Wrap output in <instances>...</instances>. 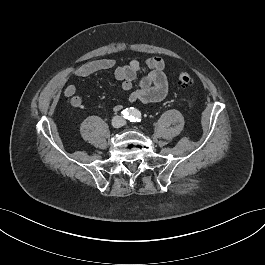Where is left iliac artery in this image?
<instances>
[{"instance_id":"44dca946","label":"left iliac artery","mask_w":265,"mask_h":265,"mask_svg":"<svg viewBox=\"0 0 265 265\" xmlns=\"http://www.w3.org/2000/svg\"><path fill=\"white\" fill-rule=\"evenodd\" d=\"M128 119L131 122H141V113L138 110H135L133 116Z\"/></svg>"}]
</instances>
